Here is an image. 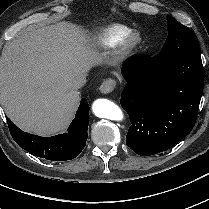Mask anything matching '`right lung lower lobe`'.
Segmentation results:
<instances>
[{
  "label": "right lung lower lobe",
  "instance_id": "98d812e1",
  "mask_svg": "<svg viewBox=\"0 0 209 209\" xmlns=\"http://www.w3.org/2000/svg\"><path fill=\"white\" fill-rule=\"evenodd\" d=\"M88 117L87 100L81 99L75 119L71 122L67 133L40 137L23 132L10 119H7V122L13 139L22 149L47 160L66 161L77 157L86 146Z\"/></svg>",
  "mask_w": 209,
  "mask_h": 209
}]
</instances>
